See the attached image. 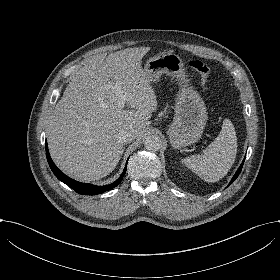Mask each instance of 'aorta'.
<instances>
[{
  "label": "aorta",
  "mask_w": 280,
  "mask_h": 280,
  "mask_svg": "<svg viewBox=\"0 0 280 280\" xmlns=\"http://www.w3.org/2000/svg\"><path fill=\"white\" fill-rule=\"evenodd\" d=\"M145 148L150 152H156L162 147V140L158 135H148L144 141Z\"/></svg>",
  "instance_id": "aorta-1"
}]
</instances>
